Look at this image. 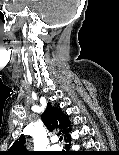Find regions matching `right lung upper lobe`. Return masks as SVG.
I'll list each match as a JSON object with an SVG mask.
<instances>
[{
	"label": "right lung upper lobe",
	"mask_w": 119,
	"mask_h": 155,
	"mask_svg": "<svg viewBox=\"0 0 119 155\" xmlns=\"http://www.w3.org/2000/svg\"><path fill=\"white\" fill-rule=\"evenodd\" d=\"M42 120L48 130L60 129L64 134L65 139L69 136L71 125L68 118L63 115L56 107H52L50 103L42 115ZM5 155H29V152L24 150V139L20 137L16 140Z\"/></svg>",
	"instance_id": "cb5924a9"
}]
</instances>
